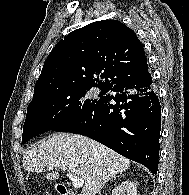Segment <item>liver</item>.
I'll list each match as a JSON object with an SVG mask.
<instances>
[{
    "mask_svg": "<svg viewBox=\"0 0 189 195\" xmlns=\"http://www.w3.org/2000/svg\"><path fill=\"white\" fill-rule=\"evenodd\" d=\"M23 167L41 173L49 166L67 170L84 180L81 195H96L105 183L130 167V160L88 137L56 133L23 155ZM50 170V169H49ZM58 171L45 178L57 180Z\"/></svg>",
    "mask_w": 189,
    "mask_h": 195,
    "instance_id": "6515ba94",
    "label": "liver"
}]
</instances>
